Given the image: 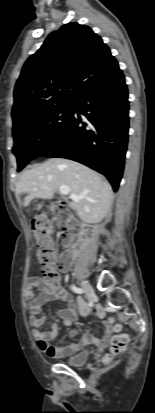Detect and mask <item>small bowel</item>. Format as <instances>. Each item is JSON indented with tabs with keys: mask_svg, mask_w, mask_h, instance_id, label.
<instances>
[{
	"mask_svg": "<svg viewBox=\"0 0 155 413\" xmlns=\"http://www.w3.org/2000/svg\"><path fill=\"white\" fill-rule=\"evenodd\" d=\"M39 288L40 293L35 296L34 289ZM25 296L29 300L28 309L30 313L29 323L32 328L33 337L36 340L38 349L52 358L69 357L82 348L90 344L105 346L108 343L112 327L108 322L102 324V334L96 337L92 334L84 335L78 342L71 343L67 346H52L50 342L59 336L58 326L54 323L48 331L41 330V326L46 318L43 313V305L52 300H60L66 303V307L58 311V315L63 319L65 325L72 326L77 315L90 316V305L82 299H78L77 303L73 300L70 293L63 287L51 288L47 286L39 277L32 278L25 290ZM98 315V314H97ZM103 317V315H98ZM76 329H72L70 334L73 336Z\"/></svg>",
	"mask_w": 155,
	"mask_h": 413,
	"instance_id": "c3829d8e",
	"label": "small bowel"
}]
</instances>
